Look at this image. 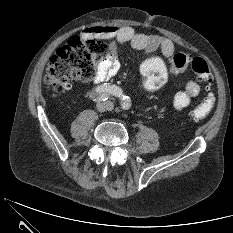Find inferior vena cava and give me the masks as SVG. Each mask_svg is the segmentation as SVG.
<instances>
[{"mask_svg":"<svg viewBox=\"0 0 233 233\" xmlns=\"http://www.w3.org/2000/svg\"><path fill=\"white\" fill-rule=\"evenodd\" d=\"M105 107H106V109L111 110V109H113L114 105L112 102H107Z\"/></svg>","mask_w":233,"mask_h":233,"instance_id":"inferior-vena-cava-1","label":"inferior vena cava"}]
</instances>
